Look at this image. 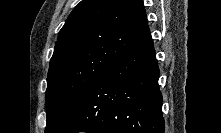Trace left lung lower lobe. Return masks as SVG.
Here are the masks:
<instances>
[{"instance_id":"left-lung-lower-lobe-1","label":"left lung lower lobe","mask_w":221,"mask_h":133,"mask_svg":"<svg viewBox=\"0 0 221 133\" xmlns=\"http://www.w3.org/2000/svg\"><path fill=\"white\" fill-rule=\"evenodd\" d=\"M150 32L101 72L56 133H164Z\"/></svg>"}]
</instances>
